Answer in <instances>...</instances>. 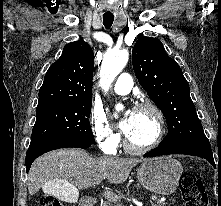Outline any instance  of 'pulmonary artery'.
I'll use <instances>...</instances> for the list:
<instances>
[{
	"label": "pulmonary artery",
	"instance_id": "pulmonary-artery-1",
	"mask_svg": "<svg viewBox=\"0 0 221 206\" xmlns=\"http://www.w3.org/2000/svg\"><path fill=\"white\" fill-rule=\"evenodd\" d=\"M133 87V79L128 73H121L114 85V92L118 95L128 94Z\"/></svg>",
	"mask_w": 221,
	"mask_h": 206
}]
</instances>
